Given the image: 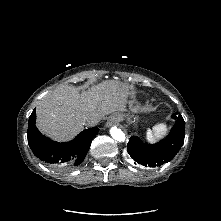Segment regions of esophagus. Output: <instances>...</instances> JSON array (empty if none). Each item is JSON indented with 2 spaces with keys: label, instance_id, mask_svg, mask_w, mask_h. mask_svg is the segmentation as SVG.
<instances>
[{
  "label": "esophagus",
  "instance_id": "obj_1",
  "mask_svg": "<svg viewBox=\"0 0 221 221\" xmlns=\"http://www.w3.org/2000/svg\"><path fill=\"white\" fill-rule=\"evenodd\" d=\"M121 122V117L119 114H113L111 115L106 122V126L110 127L113 125H118Z\"/></svg>",
  "mask_w": 221,
  "mask_h": 221
}]
</instances>
